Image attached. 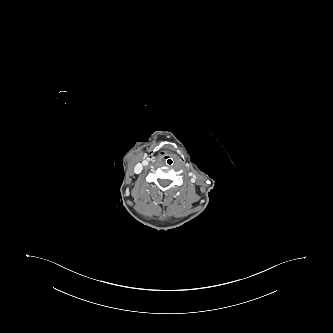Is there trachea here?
Here are the masks:
<instances>
[{
	"label": "trachea",
	"instance_id": "3493384b",
	"mask_svg": "<svg viewBox=\"0 0 333 333\" xmlns=\"http://www.w3.org/2000/svg\"><path fill=\"white\" fill-rule=\"evenodd\" d=\"M174 158L172 155L170 154H164L161 156L160 158V163L162 166L164 167H170L174 165Z\"/></svg>",
	"mask_w": 333,
	"mask_h": 333
}]
</instances>
